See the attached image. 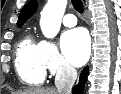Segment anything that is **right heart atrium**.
Returning <instances> with one entry per match:
<instances>
[{"instance_id":"1","label":"right heart atrium","mask_w":121,"mask_h":94,"mask_svg":"<svg viewBox=\"0 0 121 94\" xmlns=\"http://www.w3.org/2000/svg\"><path fill=\"white\" fill-rule=\"evenodd\" d=\"M42 62L52 75L66 77L72 74V68L63 60L56 45L52 41L40 42Z\"/></svg>"}]
</instances>
